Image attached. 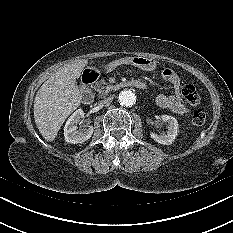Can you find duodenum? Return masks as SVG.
<instances>
[{
	"instance_id": "duodenum-1",
	"label": "duodenum",
	"mask_w": 233,
	"mask_h": 233,
	"mask_svg": "<svg viewBox=\"0 0 233 233\" xmlns=\"http://www.w3.org/2000/svg\"><path fill=\"white\" fill-rule=\"evenodd\" d=\"M98 79V73L95 71L86 72L82 77V87H83V94L82 100L85 104H90L93 101L94 94H93V86ZM129 86L144 89L146 87L145 83L142 81H117L113 85L108 86L109 92H115L119 90H124Z\"/></svg>"
}]
</instances>
